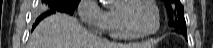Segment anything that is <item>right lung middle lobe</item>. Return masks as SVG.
I'll return each instance as SVG.
<instances>
[{"mask_svg":"<svg viewBox=\"0 0 213 48\" xmlns=\"http://www.w3.org/2000/svg\"><path fill=\"white\" fill-rule=\"evenodd\" d=\"M42 2L46 8H53L72 15L80 0H42Z\"/></svg>","mask_w":213,"mask_h":48,"instance_id":"right-lung-middle-lobe-1","label":"right lung middle lobe"}]
</instances>
